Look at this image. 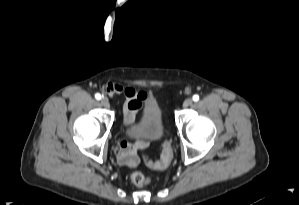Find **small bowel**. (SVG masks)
<instances>
[{
    "label": "small bowel",
    "mask_w": 299,
    "mask_h": 205,
    "mask_svg": "<svg viewBox=\"0 0 299 205\" xmlns=\"http://www.w3.org/2000/svg\"><path fill=\"white\" fill-rule=\"evenodd\" d=\"M106 92L110 96L121 93L124 94V127H126L137 114L142 113L145 103L150 99L149 93L145 91H137L134 88L123 87L116 83H109L106 86ZM146 144L147 141H141L135 144L121 141L118 146V161L126 166H135L139 162L137 152L144 148Z\"/></svg>",
    "instance_id": "small-bowel-1"
}]
</instances>
